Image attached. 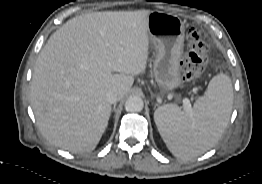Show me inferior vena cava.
Instances as JSON below:
<instances>
[{"mask_svg": "<svg viewBox=\"0 0 262 184\" xmlns=\"http://www.w3.org/2000/svg\"><path fill=\"white\" fill-rule=\"evenodd\" d=\"M106 100L110 103V104H114L119 100V93L116 90H109L106 93Z\"/></svg>", "mask_w": 262, "mask_h": 184, "instance_id": "1", "label": "inferior vena cava"}]
</instances>
